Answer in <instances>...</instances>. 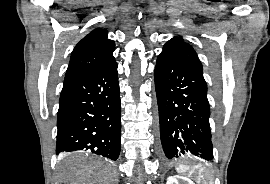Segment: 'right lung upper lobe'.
<instances>
[{"mask_svg":"<svg viewBox=\"0 0 270 184\" xmlns=\"http://www.w3.org/2000/svg\"><path fill=\"white\" fill-rule=\"evenodd\" d=\"M107 33L106 29L96 28L76 45L65 78L115 62V43L107 39Z\"/></svg>","mask_w":270,"mask_h":184,"instance_id":"1","label":"right lung upper lobe"}]
</instances>
